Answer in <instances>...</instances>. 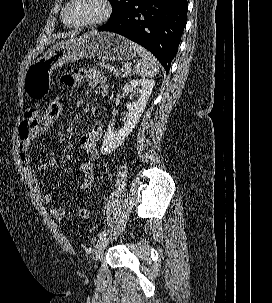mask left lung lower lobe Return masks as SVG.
<instances>
[{
  "mask_svg": "<svg viewBox=\"0 0 272 303\" xmlns=\"http://www.w3.org/2000/svg\"><path fill=\"white\" fill-rule=\"evenodd\" d=\"M187 0H138L98 31L120 34L142 45L168 72L186 24Z\"/></svg>",
  "mask_w": 272,
  "mask_h": 303,
  "instance_id": "obj_1",
  "label": "left lung lower lobe"
}]
</instances>
